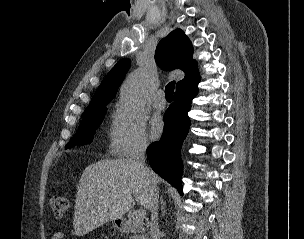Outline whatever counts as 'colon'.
<instances>
[{
	"label": "colon",
	"instance_id": "5ec220e1",
	"mask_svg": "<svg viewBox=\"0 0 304 239\" xmlns=\"http://www.w3.org/2000/svg\"><path fill=\"white\" fill-rule=\"evenodd\" d=\"M50 206L57 218H63L71 208V201L65 196H53L50 200Z\"/></svg>",
	"mask_w": 304,
	"mask_h": 239
}]
</instances>
